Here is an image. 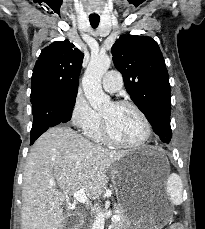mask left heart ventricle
Masks as SVG:
<instances>
[{"instance_id":"b2bd125f","label":"left heart ventricle","mask_w":205,"mask_h":229,"mask_svg":"<svg viewBox=\"0 0 205 229\" xmlns=\"http://www.w3.org/2000/svg\"><path fill=\"white\" fill-rule=\"evenodd\" d=\"M110 131L119 141L136 142L144 135V125L138 114L130 107L108 103L101 111Z\"/></svg>"}]
</instances>
